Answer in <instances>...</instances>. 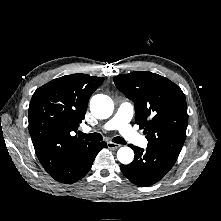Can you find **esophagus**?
Returning <instances> with one entry per match:
<instances>
[{"mask_svg": "<svg viewBox=\"0 0 221 221\" xmlns=\"http://www.w3.org/2000/svg\"><path fill=\"white\" fill-rule=\"evenodd\" d=\"M107 147L109 149H118L121 147V145L109 141V142H107Z\"/></svg>", "mask_w": 221, "mask_h": 221, "instance_id": "34e87169", "label": "esophagus"}]
</instances>
